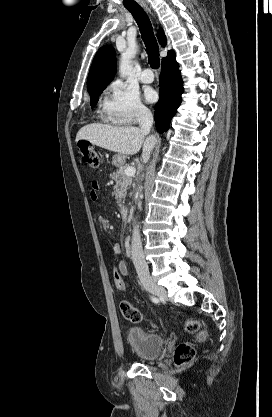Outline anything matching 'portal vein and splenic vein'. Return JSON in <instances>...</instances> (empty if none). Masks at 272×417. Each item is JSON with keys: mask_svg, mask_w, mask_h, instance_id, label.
Instances as JSON below:
<instances>
[{"mask_svg": "<svg viewBox=\"0 0 272 417\" xmlns=\"http://www.w3.org/2000/svg\"><path fill=\"white\" fill-rule=\"evenodd\" d=\"M135 173H136V169H135V167H127V168L125 169V174H126L127 176H134V175H135Z\"/></svg>", "mask_w": 272, "mask_h": 417, "instance_id": "portal-vein-and-splenic-vein-1", "label": "portal vein and splenic vein"}]
</instances>
